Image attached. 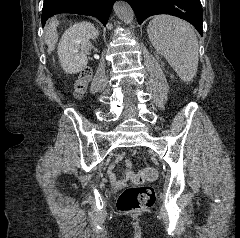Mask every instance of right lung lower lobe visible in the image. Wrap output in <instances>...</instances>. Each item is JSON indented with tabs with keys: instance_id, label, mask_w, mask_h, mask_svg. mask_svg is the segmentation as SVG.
Listing matches in <instances>:
<instances>
[{
	"instance_id": "1",
	"label": "right lung lower lobe",
	"mask_w": 240,
	"mask_h": 238,
	"mask_svg": "<svg viewBox=\"0 0 240 238\" xmlns=\"http://www.w3.org/2000/svg\"><path fill=\"white\" fill-rule=\"evenodd\" d=\"M115 1L116 0H44L42 26L45 25L48 18L60 13L94 16L106 25Z\"/></svg>"
}]
</instances>
